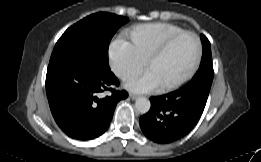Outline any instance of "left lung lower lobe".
<instances>
[{
	"label": "left lung lower lobe",
	"mask_w": 261,
	"mask_h": 162,
	"mask_svg": "<svg viewBox=\"0 0 261 162\" xmlns=\"http://www.w3.org/2000/svg\"><path fill=\"white\" fill-rule=\"evenodd\" d=\"M213 77L200 76L177 91L151 97L150 111L140 118V127L153 142H174L188 134L205 108Z\"/></svg>",
	"instance_id": "left-lung-lower-lobe-1"
}]
</instances>
